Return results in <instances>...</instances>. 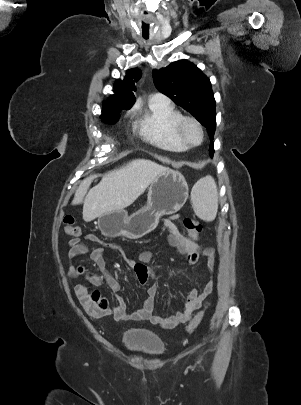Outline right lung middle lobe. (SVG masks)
Segmentation results:
<instances>
[{
    "instance_id": "1",
    "label": "right lung middle lobe",
    "mask_w": 301,
    "mask_h": 405,
    "mask_svg": "<svg viewBox=\"0 0 301 405\" xmlns=\"http://www.w3.org/2000/svg\"><path fill=\"white\" fill-rule=\"evenodd\" d=\"M120 111L121 110H118V111L112 112V113L103 112L101 118L106 123L114 124L118 121Z\"/></svg>"
}]
</instances>
